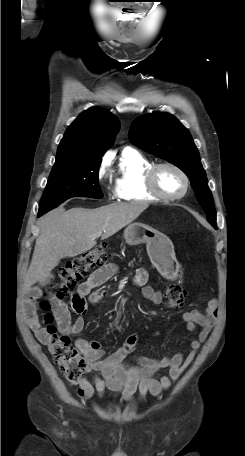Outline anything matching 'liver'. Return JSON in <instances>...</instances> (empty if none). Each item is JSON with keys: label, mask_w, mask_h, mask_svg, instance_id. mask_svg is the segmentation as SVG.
<instances>
[{"label": "liver", "mask_w": 245, "mask_h": 456, "mask_svg": "<svg viewBox=\"0 0 245 456\" xmlns=\"http://www.w3.org/2000/svg\"><path fill=\"white\" fill-rule=\"evenodd\" d=\"M146 202L113 203L96 209L59 207L39 219L32 260L24 279L28 292L45 280L65 257H75L92 249L96 239H106L131 224L148 208Z\"/></svg>", "instance_id": "6515ba94"}]
</instances>
